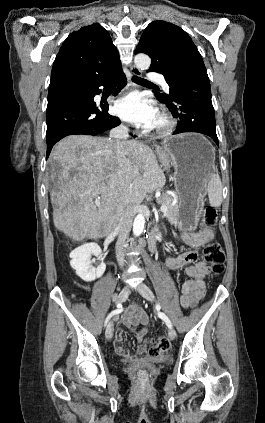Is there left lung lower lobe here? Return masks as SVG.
Here are the masks:
<instances>
[{
	"label": "left lung lower lobe",
	"mask_w": 265,
	"mask_h": 423,
	"mask_svg": "<svg viewBox=\"0 0 265 423\" xmlns=\"http://www.w3.org/2000/svg\"><path fill=\"white\" fill-rule=\"evenodd\" d=\"M163 75L170 93L167 96L157 93V97L180 119L173 134L197 132L210 136L218 145L210 82L203 60L192 59Z\"/></svg>",
	"instance_id": "0a47b994"
}]
</instances>
